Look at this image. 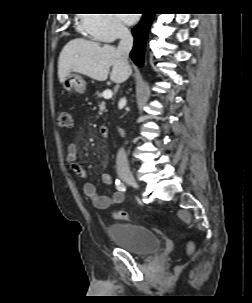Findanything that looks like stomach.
<instances>
[{
    "mask_svg": "<svg viewBox=\"0 0 252 303\" xmlns=\"http://www.w3.org/2000/svg\"><path fill=\"white\" fill-rule=\"evenodd\" d=\"M64 90L71 91L74 90L77 93H84L86 90V82L78 74L70 73L62 82Z\"/></svg>",
    "mask_w": 252,
    "mask_h": 303,
    "instance_id": "obj_1",
    "label": "stomach"
}]
</instances>
